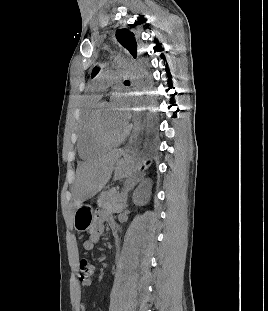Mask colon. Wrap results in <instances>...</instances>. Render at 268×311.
I'll use <instances>...</instances> for the list:
<instances>
[{
    "label": "colon",
    "mask_w": 268,
    "mask_h": 311,
    "mask_svg": "<svg viewBox=\"0 0 268 311\" xmlns=\"http://www.w3.org/2000/svg\"><path fill=\"white\" fill-rule=\"evenodd\" d=\"M93 273V266L87 259L80 261V275L81 279L90 278Z\"/></svg>",
    "instance_id": "obj_1"
}]
</instances>
